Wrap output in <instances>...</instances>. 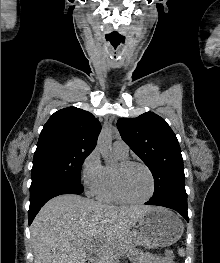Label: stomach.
<instances>
[{
  "instance_id": "obj_1",
  "label": "stomach",
  "mask_w": 220,
  "mask_h": 263,
  "mask_svg": "<svg viewBox=\"0 0 220 263\" xmlns=\"http://www.w3.org/2000/svg\"><path fill=\"white\" fill-rule=\"evenodd\" d=\"M143 245L166 247L176 243L183 234L184 225L172 211L153 207L139 219Z\"/></svg>"
}]
</instances>
